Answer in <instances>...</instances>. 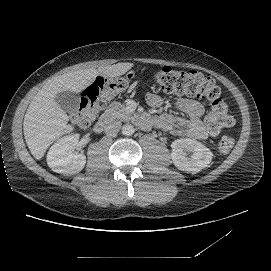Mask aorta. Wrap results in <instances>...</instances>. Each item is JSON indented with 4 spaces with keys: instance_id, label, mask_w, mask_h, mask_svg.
Listing matches in <instances>:
<instances>
[{
    "instance_id": "obj_1",
    "label": "aorta",
    "mask_w": 271,
    "mask_h": 271,
    "mask_svg": "<svg viewBox=\"0 0 271 271\" xmlns=\"http://www.w3.org/2000/svg\"><path fill=\"white\" fill-rule=\"evenodd\" d=\"M134 127L132 124L125 123L122 125L121 132L125 136H131L134 133Z\"/></svg>"
}]
</instances>
